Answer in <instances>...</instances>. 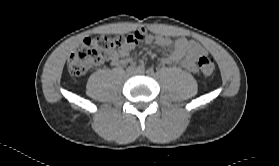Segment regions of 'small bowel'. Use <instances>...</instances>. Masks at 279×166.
<instances>
[{
    "mask_svg": "<svg viewBox=\"0 0 279 166\" xmlns=\"http://www.w3.org/2000/svg\"><path fill=\"white\" fill-rule=\"evenodd\" d=\"M136 39L129 43L119 54L111 58V64L125 65L131 62L130 53L133 51L139 41L147 44L155 43L161 48L172 47V52L167 58L168 63H180L185 69L196 72L197 59L206 53L204 47L194 40H188L184 37H178L171 40L167 37L150 34L145 29H139L132 33Z\"/></svg>",
    "mask_w": 279,
    "mask_h": 166,
    "instance_id": "obj_1",
    "label": "small bowel"
}]
</instances>
